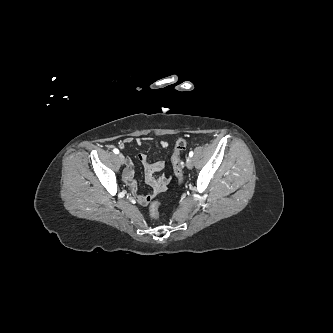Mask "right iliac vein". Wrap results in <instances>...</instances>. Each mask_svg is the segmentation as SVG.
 <instances>
[{"label":"right iliac vein","instance_id":"63e3f726","mask_svg":"<svg viewBox=\"0 0 333 333\" xmlns=\"http://www.w3.org/2000/svg\"><path fill=\"white\" fill-rule=\"evenodd\" d=\"M118 158H119V160H120V162H121L122 164L125 163V157H124L123 154L120 153V154L118 155Z\"/></svg>","mask_w":333,"mask_h":333}]
</instances>
